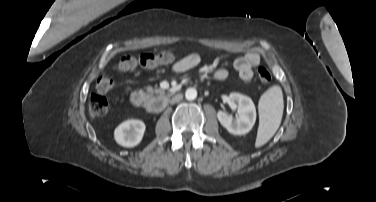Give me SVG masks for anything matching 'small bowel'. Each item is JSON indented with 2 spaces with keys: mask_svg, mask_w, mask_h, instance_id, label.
Masks as SVG:
<instances>
[{
  "mask_svg": "<svg viewBox=\"0 0 376 202\" xmlns=\"http://www.w3.org/2000/svg\"><path fill=\"white\" fill-rule=\"evenodd\" d=\"M261 56L257 51H248L243 53L234 61V68L238 72L240 78L244 81H249L253 77V68L259 65ZM200 63V55L193 52L183 59L175 62L171 66V71L174 73H183L194 70ZM228 72L225 68L217 67L211 71V76L215 80H222L226 78Z\"/></svg>",
  "mask_w": 376,
  "mask_h": 202,
  "instance_id": "obj_1",
  "label": "small bowel"
}]
</instances>
